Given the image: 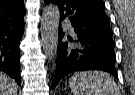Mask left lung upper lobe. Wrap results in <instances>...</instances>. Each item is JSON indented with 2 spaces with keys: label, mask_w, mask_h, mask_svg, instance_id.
<instances>
[{
  "label": "left lung upper lobe",
  "mask_w": 135,
  "mask_h": 95,
  "mask_svg": "<svg viewBox=\"0 0 135 95\" xmlns=\"http://www.w3.org/2000/svg\"><path fill=\"white\" fill-rule=\"evenodd\" d=\"M56 4L61 20L68 17L74 29L112 33L102 0H44Z\"/></svg>",
  "instance_id": "5c2ea615"
}]
</instances>
